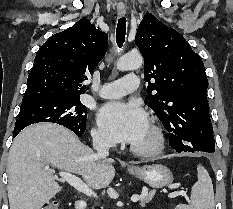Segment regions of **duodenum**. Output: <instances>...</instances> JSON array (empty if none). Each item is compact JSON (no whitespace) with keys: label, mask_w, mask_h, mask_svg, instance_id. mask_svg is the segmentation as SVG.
I'll use <instances>...</instances> for the list:
<instances>
[{"label":"duodenum","mask_w":233,"mask_h":209,"mask_svg":"<svg viewBox=\"0 0 233 209\" xmlns=\"http://www.w3.org/2000/svg\"><path fill=\"white\" fill-rule=\"evenodd\" d=\"M86 202L84 200H77L75 202V209H86Z\"/></svg>","instance_id":"410a0bca"}]
</instances>
